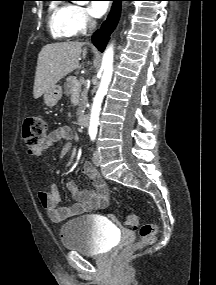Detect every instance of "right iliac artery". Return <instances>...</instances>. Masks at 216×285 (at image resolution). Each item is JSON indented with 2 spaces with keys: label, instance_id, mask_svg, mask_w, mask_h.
Masks as SVG:
<instances>
[{
  "label": "right iliac artery",
  "instance_id": "obj_1",
  "mask_svg": "<svg viewBox=\"0 0 216 285\" xmlns=\"http://www.w3.org/2000/svg\"><path fill=\"white\" fill-rule=\"evenodd\" d=\"M91 140L94 141L95 139V134H90Z\"/></svg>",
  "mask_w": 216,
  "mask_h": 285
}]
</instances>
